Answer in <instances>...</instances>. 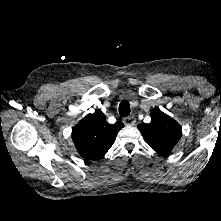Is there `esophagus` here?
Returning <instances> with one entry per match:
<instances>
[{"label": "esophagus", "instance_id": "34e87169", "mask_svg": "<svg viewBox=\"0 0 221 221\" xmlns=\"http://www.w3.org/2000/svg\"><path fill=\"white\" fill-rule=\"evenodd\" d=\"M123 123L126 125V126H134L135 123H136V119L134 116H127V117H124L123 118Z\"/></svg>", "mask_w": 221, "mask_h": 221}]
</instances>
